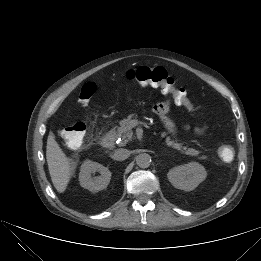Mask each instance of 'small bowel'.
<instances>
[{
    "mask_svg": "<svg viewBox=\"0 0 261 261\" xmlns=\"http://www.w3.org/2000/svg\"><path fill=\"white\" fill-rule=\"evenodd\" d=\"M171 101L166 100L164 102H161L155 106V112L162 118V120L165 123V126L170 130H174L173 123L167 118V114L171 107ZM186 130L192 131L195 134H204L208 131L207 125H197V126H185Z\"/></svg>",
    "mask_w": 261,
    "mask_h": 261,
    "instance_id": "1",
    "label": "small bowel"
}]
</instances>
